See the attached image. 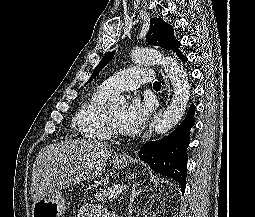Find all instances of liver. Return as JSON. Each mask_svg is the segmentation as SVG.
Wrapping results in <instances>:
<instances>
[{"mask_svg":"<svg viewBox=\"0 0 255 217\" xmlns=\"http://www.w3.org/2000/svg\"><path fill=\"white\" fill-rule=\"evenodd\" d=\"M111 154L108 144L90 140H67L44 147L33 165V202L100 175Z\"/></svg>","mask_w":255,"mask_h":217,"instance_id":"1","label":"liver"}]
</instances>
